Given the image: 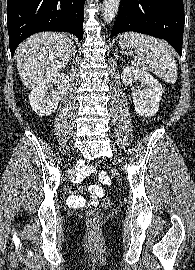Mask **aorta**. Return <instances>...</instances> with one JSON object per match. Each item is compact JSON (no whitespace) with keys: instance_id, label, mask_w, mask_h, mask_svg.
<instances>
[{"instance_id":"aorta-1","label":"aorta","mask_w":195,"mask_h":270,"mask_svg":"<svg viewBox=\"0 0 195 270\" xmlns=\"http://www.w3.org/2000/svg\"><path fill=\"white\" fill-rule=\"evenodd\" d=\"M120 0L103 1V18L105 23H111L118 13Z\"/></svg>"}]
</instances>
